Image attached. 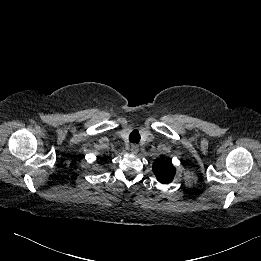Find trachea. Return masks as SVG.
Returning <instances> with one entry per match:
<instances>
[{"label": "trachea", "instance_id": "trachea-1", "mask_svg": "<svg viewBox=\"0 0 261 261\" xmlns=\"http://www.w3.org/2000/svg\"><path fill=\"white\" fill-rule=\"evenodd\" d=\"M129 141L138 143L140 141V134L138 130H133L129 135Z\"/></svg>", "mask_w": 261, "mask_h": 261}]
</instances>
